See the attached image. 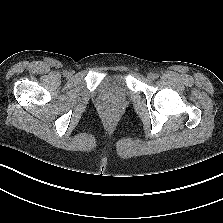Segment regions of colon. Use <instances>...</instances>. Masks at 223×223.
Listing matches in <instances>:
<instances>
[{"label": "colon", "mask_w": 223, "mask_h": 223, "mask_svg": "<svg viewBox=\"0 0 223 223\" xmlns=\"http://www.w3.org/2000/svg\"><path fill=\"white\" fill-rule=\"evenodd\" d=\"M108 119H111L112 115L110 113L107 114Z\"/></svg>", "instance_id": "1"}]
</instances>
